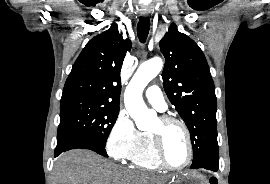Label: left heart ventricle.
I'll return each mask as SVG.
<instances>
[{
    "label": "left heart ventricle",
    "mask_w": 270,
    "mask_h": 184,
    "mask_svg": "<svg viewBox=\"0 0 270 184\" xmlns=\"http://www.w3.org/2000/svg\"><path fill=\"white\" fill-rule=\"evenodd\" d=\"M151 132L162 134L164 154L169 164L181 166L186 161L188 155L186 137L178 125L163 126L158 119Z\"/></svg>",
    "instance_id": "left-heart-ventricle-1"
}]
</instances>
